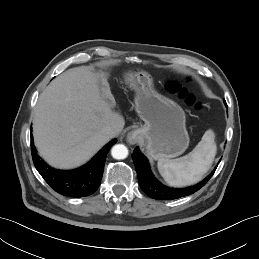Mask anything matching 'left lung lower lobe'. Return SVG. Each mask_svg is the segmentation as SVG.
Segmentation results:
<instances>
[{
    "mask_svg": "<svg viewBox=\"0 0 259 259\" xmlns=\"http://www.w3.org/2000/svg\"><path fill=\"white\" fill-rule=\"evenodd\" d=\"M132 158L135 164L136 172L138 175L139 185L143 192L149 197L157 200H173L188 196L198 191L203 187L209 179L212 177L214 171L203 181L197 185L187 188H169L162 185L152 174L149 163L146 157L140 152L139 148L136 147Z\"/></svg>",
    "mask_w": 259,
    "mask_h": 259,
    "instance_id": "obj_1",
    "label": "left lung lower lobe"
}]
</instances>
